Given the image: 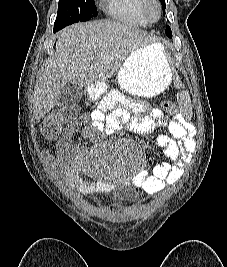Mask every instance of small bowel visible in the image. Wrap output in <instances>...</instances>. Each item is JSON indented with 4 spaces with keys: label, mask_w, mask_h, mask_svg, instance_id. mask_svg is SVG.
Returning a JSON list of instances; mask_svg holds the SVG:
<instances>
[{
    "label": "small bowel",
    "mask_w": 227,
    "mask_h": 267,
    "mask_svg": "<svg viewBox=\"0 0 227 267\" xmlns=\"http://www.w3.org/2000/svg\"><path fill=\"white\" fill-rule=\"evenodd\" d=\"M119 104H125L127 109L119 108ZM121 123L142 135H151L159 129H165L170 134L155 138V144L164 150L166 160L155 167L152 174L139 171L134 183L148 193H156L176 184L196 149L188 123L183 116L172 117L160 108L148 109L142 103L127 102L118 92L108 94L97 109L70 124L58 143V154L48 155V161L59 170L64 182L76 191L83 194L106 191L109 188L107 183L85 177L87 166L84 152L73 150L71 139L82 128L85 139L96 141L100 134L118 130Z\"/></svg>",
    "instance_id": "c3829d8e"
}]
</instances>
